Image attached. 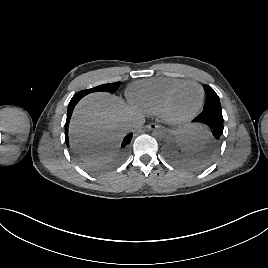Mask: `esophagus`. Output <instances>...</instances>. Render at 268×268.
<instances>
[{
  "mask_svg": "<svg viewBox=\"0 0 268 268\" xmlns=\"http://www.w3.org/2000/svg\"><path fill=\"white\" fill-rule=\"evenodd\" d=\"M146 128H147L148 130H155V129H157V128H160V125H158V124H156V123H150V124H148V125L146 126Z\"/></svg>",
  "mask_w": 268,
  "mask_h": 268,
  "instance_id": "obj_1",
  "label": "esophagus"
}]
</instances>
